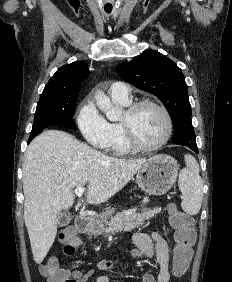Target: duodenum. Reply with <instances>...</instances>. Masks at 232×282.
<instances>
[{
    "label": "duodenum",
    "mask_w": 232,
    "mask_h": 282,
    "mask_svg": "<svg viewBox=\"0 0 232 282\" xmlns=\"http://www.w3.org/2000/svg\"><path fill=\"white\" fill-rule=\"evenodd\" d=\"M75 226L80 233H86L90 229V221L86 216H78L75 220Z\"/></svg>",
    "instance_id": "duodenum-1"
}]
</instances>
